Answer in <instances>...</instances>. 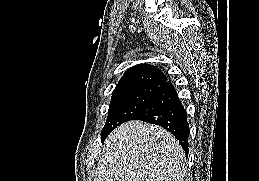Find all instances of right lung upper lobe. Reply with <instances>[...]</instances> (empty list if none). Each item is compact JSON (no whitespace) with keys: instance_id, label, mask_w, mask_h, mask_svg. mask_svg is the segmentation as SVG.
I'll return each instance as SVG.
<instances>
[{"instance_id":"obj_1","label":"right lung upper lobe","mask_w":259,"mask_h":181,"mask_svg":"<svg viewBox=\"0 0 259 181\" xmlns=\"http://www.w3.org/2000/svg\"><path fill=\"white\" fill-rule=\"evenodd\" d=\"M167 80L163 72L149 64H139L129 68L116 88L133 86V85H161Z\"/></svg>"}]
</instances>
